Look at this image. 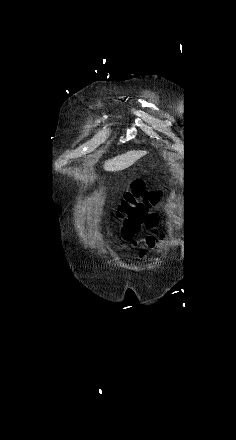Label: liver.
I'll return each mask as SVG.
<instances>
[{"label": "liver", "instance_id": "6515ba94", "mask_svg": "<svg viewBox=\"0 0 236 440\" xmlns=\"http://www.w3.org/2000/svg\"><path fill=\"white\" fill-rule=\"evenodd\" d=\"M146 155V151H129L118 155L104 163V169L110 172L124 170L135 163L138 159Z\"/></svg>", "mask_w": 236, "mask_h": 440}]
</instances>
